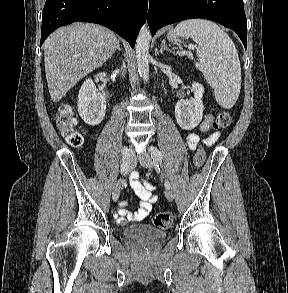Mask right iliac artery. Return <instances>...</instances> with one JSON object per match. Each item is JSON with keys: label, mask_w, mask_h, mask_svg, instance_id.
Returning <instances> with one entry per match:
<instances>
[{"label": "right iliac artery", "mask_w": 288, "mask_h": 293, "mask_svg": "<svg viewBox=\"0 0 288 293\" xmlns=\"http://www.w3.org/2000/svg\"><path fill=\"white\" fill-rule=\"evenodd\" d=\"M128 151H129V148L128 147H123L121 149V170H129V166H130V163H129V156H128Z\"/></svg>", "instance_id": "82829eb1"}]
</instances>
